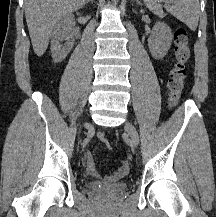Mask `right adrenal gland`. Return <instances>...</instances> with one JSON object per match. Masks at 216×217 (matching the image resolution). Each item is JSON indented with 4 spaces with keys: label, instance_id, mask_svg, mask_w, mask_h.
<instances>
[{
    "label": "right adrenal gland",
    "instance_id": "1",
    "mask_svg": "<svg viewBox=\"0 0 216 217\" xmlns=\"http://www.w3.org/2000/svg\"><path fill=\"white\" fill-rule=\"evenodd\" d=\"M94 0H86L85 4L93 3Z\"/></svg>",
    "mask_w": 216,
    "mask_h": 217
}]
</instances>
